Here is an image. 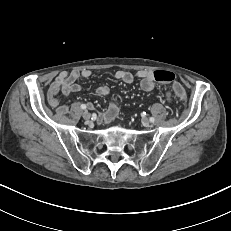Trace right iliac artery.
Here are the masks:
<instances>
[{
	"label": "right iliac artery",
	"instance_id": "right-iliac-artery-1",
	"mask_svg": "<svg viewBox=\"0 0 231 231\" xmlns=\"http://www.w3.org/2000/svg\"><path fill=\"white\" fill-rule=\"evenodd\" d=\"M81 108H82V109H86L87 106H86L85 104H82V105H81Z\"/></svg>",
	"mask_w": 231,
	"mask_h": 231
}]
</instances>
